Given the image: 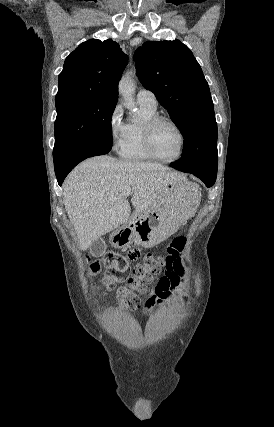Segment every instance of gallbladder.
<instances>
[{
	"label": "gallbladder",
	"instance_id": "gallbladder-1",
	"mask_svg": "<svg viewBox=\"0 0 274 427\" xmlns=\"http://www.w3.org/2000/svg\"><path fill=\"white\" fill-rule=\"evenodd\" d=\"M106 251V243L103 241L102 237H98L95 239L93 243L90 245V253L94 255V257H100Z\"/></svg>",
	"mask_w": 274,
	"mask_h": 427
}]
</instances>
